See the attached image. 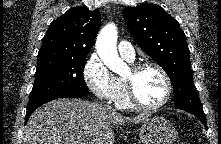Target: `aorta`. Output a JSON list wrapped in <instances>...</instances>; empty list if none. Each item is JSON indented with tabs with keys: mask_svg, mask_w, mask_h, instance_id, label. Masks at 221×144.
<instances>
[{
	"mask_svg": "<svg viewBox=\"0 0 221 144\" xmlns=\"http://www.w3.org/2000/svg\"><path fill=\"white\" fill-rule=\"evenodd\" d=\"M117 27L108 24L102 28L97 36L96 50L101 61L114 73L123 75L127 70V64L119 57L117 52Z\"/></svg>",
	"mask_w": 221,
	"mask_h": 144,
	"instance_id": "aorta-1",
	"label": "aorta"
}]
</instances>
